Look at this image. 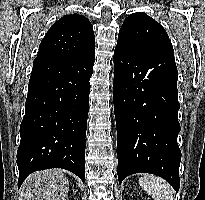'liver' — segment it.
I'll return each mask as SVG.
<instances>
[{
	"instance_id": "6515ba94",
	"label": "liver",
	"mask_w": 205,
	"mask_h": 200,
	"mask_svg": "<svg viewBox=\"0 0 205 200\" xmlns=\"http://www.w3.org/2000/svg\"><path fill=\"white\" fill-rule=\"evenodd\" d=\"M69 181L61 169L37 171L29 175L21 190V200H66Z\"/></svg>"
}]
</instances>
